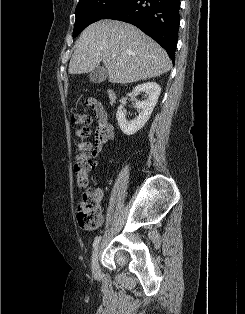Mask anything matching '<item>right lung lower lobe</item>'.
Instances as JSON below:
<instances>
[{
  "label": "right lung lower lobe",
  "instance_id": "1",
  "mask_svg": "<svg viewBox=\"0 0 245 314\" xmlns=\"http://www.w3.org/2000/svg\"><path fill=\"white\" fill-rule=\"evenodd\" d=\"M180 0H129L103 19L121 20L141 29L165 48L174 62Z\"/></svg>",
  "mask_w": 245,
  "mask_h": 314
}]
</instances>
